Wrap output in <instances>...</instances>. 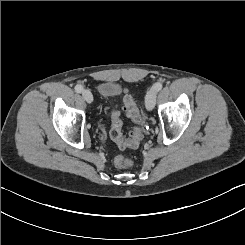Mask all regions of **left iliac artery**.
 I'll return each instance as SVG.
<instances>
[{
  "instance_id": "obj_1",
  "label": "left iliac artery",
  "mask_w": 245,
  "mask_h": 245,
  "mask_svg": "<svg viewBox=\"0 0 245 245\" xmlns=\"http://www.w3.org/2000/svg\"><path fill=\"white\" fill-rule=\"evenodd\" d=\"M153 87L156 91H160L163 87V84L158 82V83H155Z\"/></svg>"
}]
</instances>
